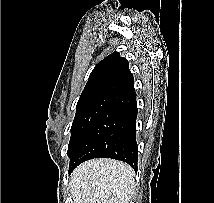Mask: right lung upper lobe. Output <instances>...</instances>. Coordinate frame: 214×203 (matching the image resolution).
<instances>
[{"label":"right lung upper lobe","instance_id":"1","mask_svg":"<svg viewBox=\"0 0 214 203\" xmlns=\"http://www.w3.org/2000/svg\"><path fill=\"white\" fill-rule=\"evenodd\" d=\"M133 81L128 61L114 52L95 66L79 99L95 96L115 99L134 90Z\"/></svg>","mask_w":214,"mask_h":203}]
</instances>
